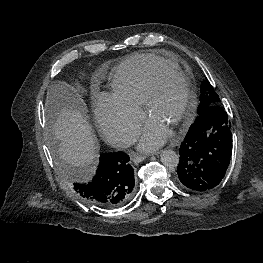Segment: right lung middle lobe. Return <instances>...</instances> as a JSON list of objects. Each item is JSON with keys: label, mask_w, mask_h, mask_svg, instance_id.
<instances>
[{"label": "right lung middle lobe", "mask_w": 263, "mask_h": 263, "mask_svg": "<svg viewBox=\"0 0 263 263\" xmlns=\"http://www.w3.org/2000/svg\"><path fill=\"white\" fill-rule=\"evenodd\" d=\"M53 153L60 175L68 182H73L77 178V175L72 167L67 165L63 158L60 156L58 147L55 145L53 146Z\"/></svg>", "instance_id": "dd1d6c3e"}]
</instances>
